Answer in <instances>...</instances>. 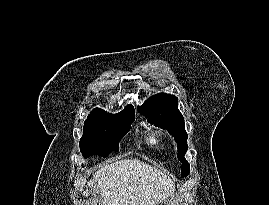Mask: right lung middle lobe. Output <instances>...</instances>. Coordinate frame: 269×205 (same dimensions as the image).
Segmentation results:
<instances>
[{
	"mask_svg": "<svg viewBox=\"0 0 269 205\" xmlns=\"http://www.w3.org/2000/svg\"><path fill=\"white\" fill-rule=\"evenodd\" d=\"M134 119V116L87 119L80 139L82 155L85 158L91 155L105 157L111 151H118V143L129 131Z\"/></svg>",
	"mask_w": 269,
	"mask_h": 205,
	"instance_id": "obj_1",
	"label": "right lung middle lobe"
}]
</instances>
